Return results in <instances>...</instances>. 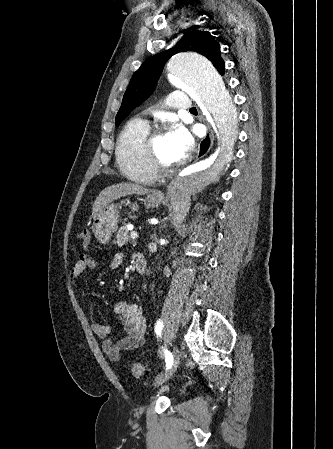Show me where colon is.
I'll list each match as a JSON object with an SVG mask.
<instances>
[{
	"label": "colon",
	"mask_w": 333,
	"mask_h": 449,
	"mask_svg": "<svg viewBox=\"0 0 333 449\" xmlns=\"http://www.w3.org/2000/svg\"><path fill=\"white\" fill-rule=\"evenodd\" d=\"M78 241L81 247L86 248L90 244V233L87 229L82 230L78 234ZM132 373L135 377H141L144 374V367L140 363H134L132 365Z\"/></svg>",
	"instance_id": "5ec220e1"
}]
</instances>
